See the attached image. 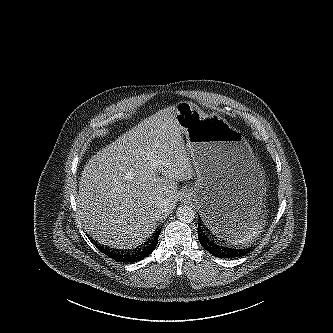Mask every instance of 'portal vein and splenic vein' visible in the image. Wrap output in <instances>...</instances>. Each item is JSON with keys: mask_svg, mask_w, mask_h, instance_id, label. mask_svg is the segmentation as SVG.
<instances>
[{"mask_svg": "<svg viewBox=\"0 0 333 333\" xmlns=\"http://www.w3.org/2000/svg\"><path fill=\"white\" fill-rule=\"evenodd\" d=\"M157 164H158L157 162H154V163H153V166H157Z\"/></svg>", "mask_w": 333, "mask_h": 333, "instance_id": "obj_1", "label": "portal vein and splenic vein"}]
</instances>
